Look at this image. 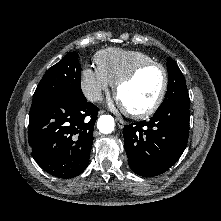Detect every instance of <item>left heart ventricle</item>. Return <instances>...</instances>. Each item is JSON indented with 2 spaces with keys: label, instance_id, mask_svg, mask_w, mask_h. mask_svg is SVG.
Listing matches in <instances>:
<instances>
[{
  "label": "left heart ventricle",
  "instance_id": "1",
  "mask_svg": "<svg viewBox=\"0 0 221 221\" xmlns=\"http://www.w3.org/2000/svg\"><path fill=\"white\" fill-rule=\"evenodd\" d=\"M163 83V74L157 67L143 70L130 83L121 88L118 100L128 110H143L158 96Z\"/></svg>",
  "mask_w": 221,
  "mask_h": 221
}]
</instances>
